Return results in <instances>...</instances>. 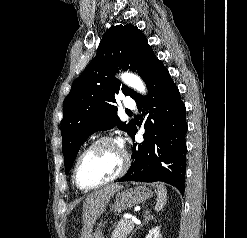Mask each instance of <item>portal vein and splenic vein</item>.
Here are the masks:
<instances>
[{"label": "portal vein and splenic vein", "instance_id": "obj_1", "mask_svg": "<svg viewBox=\"0 0 247 238\" xmlns=\"http://www.w3.org/2000/svg\"><path fill=\"white\" fill-rule=\"evenodd\" d=\"M131 223H133V224H134V223H136V222H135L134 220H132V221H131Z\"/></svg>", "mask_w": 247, "mask_h": 238}]
</instances>
